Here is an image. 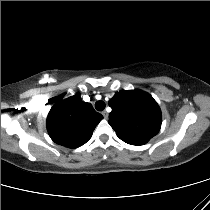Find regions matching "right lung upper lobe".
<instances>
[{
	"instance_id": "right-lung-upper-lobe-1",
	"label": "right lung upper lobe",
	"mask_w": 210,
	"mask_h": 210,
	"mask_svg": "<svg viewBox=\"0 0 210 210\" xmlns=\"http://www.w3.org/2000/svg\"><path fill=\"white\" fill-rule=\"evenodd\" d=\"M103 119L90 103L74 95L55 104L47 117V130L51 139L68 148H77L91 137Z\"/></svg>"
}]
</instances>
